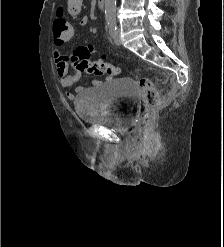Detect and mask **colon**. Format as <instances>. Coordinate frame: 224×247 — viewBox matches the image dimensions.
Segmentation results:
<instances>
[{"instance_id":"5ec220e1","label":"colon","mask_w":224,"mask_h":247,"mask_svg":"<svg viewBox=\"0 0 224 247\" xmlns=\"http://www.w3.org/2000/svg\"><path fill=\"white\" fill-rule=\"evenodd\" d=\"M75 34L76 28L68 21L63 9L60 8L53 22V37L67 42L71 40ZM93 52V46H80L75 49L70 57V61L77 72L96 76H114L121 72L120 68L115 66L111 61L106 60L105 56L99 60L92 61L90 57ZM138 84L144 107L139 128L143 130L154 118L159 96L156 87L150 79L141 78Z\"/></svg>"}]
</instances>
